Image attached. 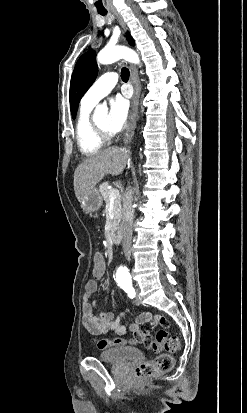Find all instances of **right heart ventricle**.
I'll list each match as a JSON object with an SVG mask.
<instances>
[{
  "label": "right heart ventricle",
  "instance_id": "obj_1",
  "mask_svg": "<svg viewBox=\"0 0 247 413\" xmlns=\"http://www.w3.org/2000/svg\"><path fill=\"white\" fill-rule=\"evenodd\" d=\"M91 107L85 106L76 125L78 147L80 152L87 157L100 153L103 148V142L97 137L94 124L89 117L88 111Z\"/></svg>",
  "mask_w": 247,
  "mask_h": 413
}]
</instances>
